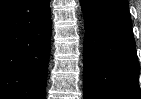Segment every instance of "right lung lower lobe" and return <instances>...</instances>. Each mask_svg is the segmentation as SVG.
<instances>
[{
	"label": "right lung lower lobe",
	"mask_w": 141,
	"mask_h": 99,
	"mask_svg": "<svg viewBox=\"0 0 141 99\" xmlns=\"http://www.w3.org/2000/svg\"><path fill=\"white\" fill-rule=\"evenodd\" d=\"M50 46V0L0 6V99H45Z\"/></svg>",
	"instance_id": "obj_1"
}]
</instances>
